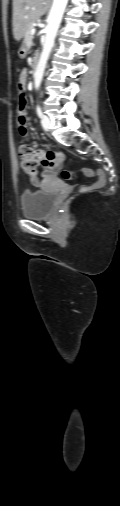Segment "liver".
Returning a JSON list of instances; mask_svg holds the SVG:
<instances>
[{
  "instance_id": "6515ba94",
  "label": "liver",
  "mask_w": 120,
  "mask_h": 506,
  "mask_svg": "<svg viewBox=\"0 0 120 506\" xmlns=\"http://www.w3.org/2000/svg\"><path fill=\"white\" fill-rule=\"evenodd\" d=\"M50 0H13V35L20 41L28 26L45 14ZM34 8V9H32Z\"/></svg>"
}]
</instances>
